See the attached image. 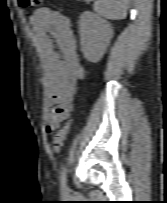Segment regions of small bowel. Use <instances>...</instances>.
I'll use <instances>...</instances> for the list:
<instances>
[{"mask_svg":"<svg viewBox=\"0 0 167 203\" xmlns=\"http://www.w3.org/2000/svg\"><path fill=\"white\" fill-rule=\"evenodd\" d=\"M31 24L44 73L46 129L52 132L72 112L76 85L85 70L67 16L43 8L34 12Z\"/></svg>","mask_w":167,"mask_h":203,"instance_id":"c3829d8e","label":"small bowel"}]
</instances>
